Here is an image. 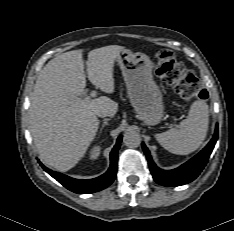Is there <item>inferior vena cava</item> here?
I'll list each match as a JSON object with an SVG mask.
<instances>
[{
  "label": "inferior vena cava",
  "mask_w": 234,
  "mask_h": 231,
  "mask_svg": "<svg viewBox=\"0 0 234 231\" xmlns=\"http://www.w3.org/2000/svg\"><path fill=\"white\" fill-rule=\"evenodd\" d=\"M99 117H106V116H109V117H112L113 116V114H111L110 112H108V111H101V112H99L98 114H97Z\"/></svg>",
  "instance_id": "602c4592"
}]
</instances>
